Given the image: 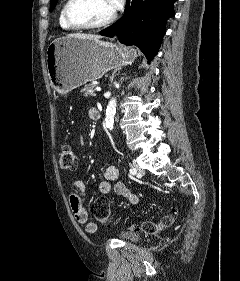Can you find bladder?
<instances>
[{"instance_id": "31cf9c89", "label": "bladder", "mask_w": 240, "mask_h": 281, "mask_svg": "<svg viewBox=\"0 0 240 281\" xmlns=\"http://www.w3.org/2000/svg\"><path fill=\"white\" fill-rule=\"evenodd\" d=\"M120 239L127 241V242H132V243H137L141 240V234L138 232H133V231H126L122 232L119 235Z\"/></svg>"}]
</instances>
